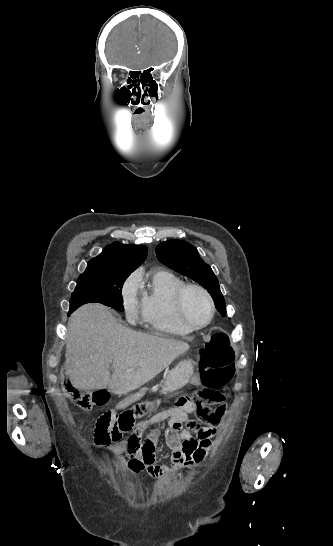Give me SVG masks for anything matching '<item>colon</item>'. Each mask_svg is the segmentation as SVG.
Here are the masks:
<instances>
[{
	"label": "colon",
	"mask_w": 333,
	"mask_h": 546,
	"mask_svg": "<svg viewBox=\"0 0 333 546\" xmlns=\"http://www.w3.org/2000/svg\"><path fill=\"white\" fill-rule=\"evenodd\" d=\"M200 358V383L211 390L225 389L227 392V385L235 372L234 353L227 336L223 333L213 334L201 349ZM67 389L73 403L83 410H91L94 406L104 405L108 401V395L103 391L81 392L70 383ZM203 392L200 394L201 398ZM138 403L139 405L136 407L135 402H130L125 409L126 412L118 413L109 410L101 415L97 419L94 430L95 444L107 448L119 443L122 437L128 433L130 418H138L151 406L150 400L146 396L140 397ZM186 403L187 398L183 397L177 402V405L183 406Z\"/></svg>",
	"instance_id": "5ec220e1"
}]
</instances>
